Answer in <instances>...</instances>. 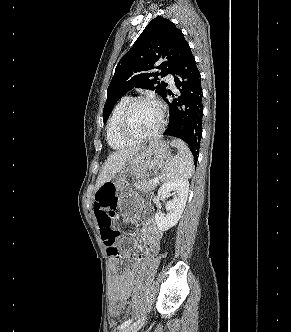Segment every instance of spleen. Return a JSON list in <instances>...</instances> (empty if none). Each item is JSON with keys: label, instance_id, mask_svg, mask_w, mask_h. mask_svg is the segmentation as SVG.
Segmentation results:
<instances>
[{"label": "spleen", "instance_id": "3e777b00", "mask_svg": "<svg viewBox=\"0 0 291 332\" xmlns=\"http://www.w3.org/2000/svg\"><path fill=\"white\" fill-rule=\"evenodd\" d=\"M170 145L176 147L178 152L176 156L168 160L160 174V179L163 182H169L191 178L194 173V161L190 149L179 139L172 140Z\"/></svg>", "mask_w": 291, "mask_h": 332}]
</instances>
